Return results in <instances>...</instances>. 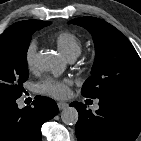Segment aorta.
Returning a JSON list of instances; mask_svg holds the SVG:
<instances>
[{
  "label": "aorta",
  "instance_id": "1",
  "mask_svg": "<svg viewBox=\"0 0 141 141\" xmlns=\"http://www.w3.org/2000/svg\"><path fill=\"white\" fill-rule=\"evenodd\" d=\"M34 63L42 71H54L58 67L56 57L49 51L39 52ZM78 111L74 107H66L61 112V120L66 125H75L78 121Z\"/></svg>",
  "mask_w": 141,
  "mask_h": 141
}]
</instances>
